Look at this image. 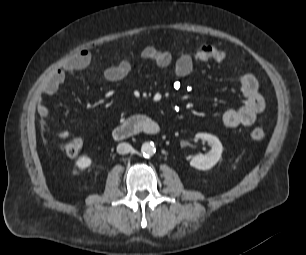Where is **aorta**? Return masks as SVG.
Wrapping results in <instances>:
<instances>
[{"mask_svg": "<svg viewBox=\"0 0 306 255\" xmlns=\"http://www.w3.org/2000/svg\"><path fill=\"white\" fill-rule=\"evenodd\" d=\"M141 152L145 157H151L156 152V147L153 142H145L141 146Z\"/></svg>", "mask_w": 306, "mask_h": 255, "instance_id": "1", "label": "aorta"}]
</instances>
